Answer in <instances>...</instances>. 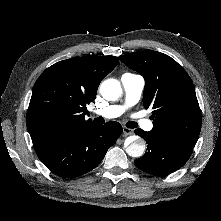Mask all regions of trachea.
Here are the masks:
<instances>
[{
  "instance_id": "trachea-1",
  "label": "trachea",
  "mask_w": 221,
  "mask_h": 221,
  "mask_svg": "<svg viewBox=\"0 0 221 221\" xmlns=\"http://www.w3.org/2000/svg\"><path fill=\"white\" fill-rule=\"evenodd\" d=\"M126 126H127L128 128H136L138 125H137V123L134 122V121H129V122L126 123Z\"/></svg>"
}]
</instances>
